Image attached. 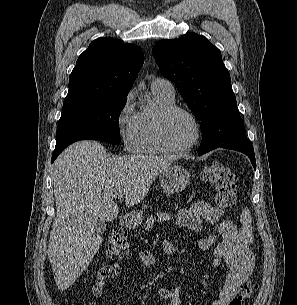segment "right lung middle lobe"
Returning <instances> with one entry per match:
<instances>
[{
	"mask_svg": "<svg viewBox=\"0 0 297 305\" xmlns=\"http://www.w3.org/2000/svg\"><path fill=\"white\" fill-rule=\"evenodd\" d=\"M125 104L126 96L83 98L64 103L55 149H65L83 139L119 144V116Z\"/></svg>",
	"mask_w": 297,
	"mask_h": 305,
	"instance_id": "dd1d6c3e",
	"label": "right lung middle lobe"
}]
</instances>
